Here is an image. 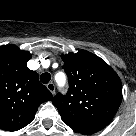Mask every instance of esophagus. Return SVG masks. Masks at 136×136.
Listing matches in <instances>:
<instances>
[{
	"instance_id": "obj_1",
	"label": "esophagus",
	"mask_w": 136,
	"mask_h": 136,
	"mask_svg": "<svg viewBox=\"0 0 136 136\" xmlns=\"http://www.w3.org/2000/svg\"><path fill=\"white\" fill-rule=\"evenodd\" d=\"M47 89L52 93L55 94V85L54 83L50 82L47 84Z\"/></svg>"
}]
</instances>
